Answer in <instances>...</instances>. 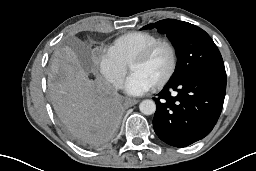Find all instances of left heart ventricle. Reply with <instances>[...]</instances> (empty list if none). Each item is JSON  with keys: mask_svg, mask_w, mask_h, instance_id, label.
<instances>
[{"mask_svg": "<svg viewBox=\"0 0 256 171\" xmlns=\"http://www.w3.org/2000/svg\"><path fill=\"white\" fill-rule=\"evenodd\" d=\"M171 65V54L166 46H160L143 63L134 64L130 67L132 73L141 74L153 85L159 82L168 72Z\"/></svg>", "mask_w": 256, "mask_h": 171, "instance_id": "1", "label": "left heart ventricle"}]
</instances>
